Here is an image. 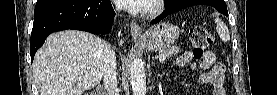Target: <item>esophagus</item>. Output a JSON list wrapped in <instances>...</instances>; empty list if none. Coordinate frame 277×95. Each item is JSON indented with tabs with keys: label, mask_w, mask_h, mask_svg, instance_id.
<instances>
[{
	"label": "esophagus",
	"mask_w": 277,
	"mask_h": 95,
	"mask_svg": "<svg viewBox=\"0 0 277 95\" xmlns=\"http://www.w3.org/2000/svg\"><path fill=\"white\" fill-rule=\"evenodd\" d=\"M131 35L134 39H141L143 38V27L142 25L133 22L131 24Z\"/></svg>",
	"instance_id": "34e87169"
}]
</instances>
